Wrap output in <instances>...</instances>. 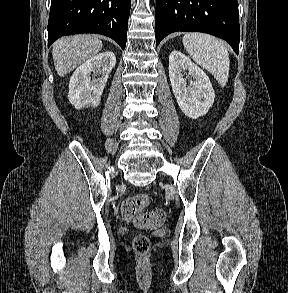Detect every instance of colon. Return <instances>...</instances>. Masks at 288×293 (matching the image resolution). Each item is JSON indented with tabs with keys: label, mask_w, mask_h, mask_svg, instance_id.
<instances>
[{
	"label": "colon",
	"mask_w": 288,
	"mask_h": 293,
	"mask_svg": "<svg viewBox=\"0 0 288 293\" xmlns=\"http://www.w3.org/2000/svg\"><path fill=\"white\" fill-rule=\"evenodd\" d=\"M150 203L146 194H139L126 199L121 206V215L126 221L140 229L155 228L161 225L165 219V213L161 209L143 212ZM133 249L138 254H145L150 249V240L143 234L136 235L132 242Z\"/></svg>",
	"instance_id": "obj_1"
}]
</instances>
